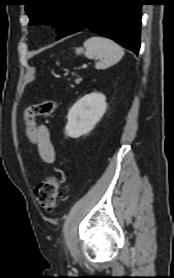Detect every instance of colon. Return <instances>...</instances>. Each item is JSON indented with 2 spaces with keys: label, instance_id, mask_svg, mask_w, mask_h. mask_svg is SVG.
<instances>
[{
  "label": "colon",
  "instance_id": "5ec220e1",
  "mask_svg": "<svg viewBox=\"0 0 174 278\" xmlns=\"http://www.w3.org/2000/svg\"><path fill=\"white\" fill-rule=\"evenodd\" d=\"M55 110L53 100H44L42 102L29 106L24 113V122L28 141L37 146V133L35 127V118L38 116H50ZM62 195L59 183L54 178H48L40 182L35 187V196L38 203L46 210L52 211L57 206L58 197Z\"/></svg>",
  "mask_w": 174,
  "mask_h": 278
}]
</instances>
